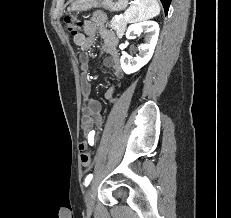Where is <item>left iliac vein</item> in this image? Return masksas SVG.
<instances>
[{
    "mask_svg": "<svg viewBox=\"0 0 231 218\" xmlns=\"http://www.w3.org/2000/svg\"><path fill=\"white\" fill-rule=\"evenodd\" d=\"M85 202L88 210L91 212L94 209V185L90 184L86 193H85Z\"/></svg>",
    "mask_w": 231,
    "mask_h": 218,
    "instance_id": "obj_1",
    "label": "left iliac vein"
}]
</instances>
